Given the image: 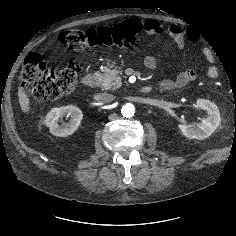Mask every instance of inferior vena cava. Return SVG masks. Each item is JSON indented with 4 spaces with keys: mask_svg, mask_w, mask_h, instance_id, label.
<instances>
[{
    "mask_svg": "<svg viewBox=\"0 0 236 236\" xmlns=\"http://www.w3.org/2000/svg\"><path fill=\"white\" fill-rule=\"evenodd\" d=\"M97 100L103 102V103H108L111 102L115 99V96L109 93H100L97 96Z\"/></svg>",
    "mask_w": 236,
    "mask_h": 236,
    "instance_id": "602c4592",
    "label": "inferior vena cava"
}]
</instances>
